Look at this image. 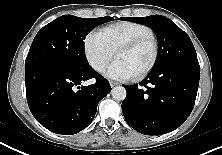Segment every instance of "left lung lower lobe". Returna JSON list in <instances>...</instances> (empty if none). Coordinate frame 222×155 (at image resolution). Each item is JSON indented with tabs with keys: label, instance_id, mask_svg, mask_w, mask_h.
Returning a JSON list of instances; mask_svg holds the SVG:
<instances>
[{
	"label": "left lung lower lobe",
	"instance_id": "0a47b994",
	"mask_svg": "<svg viewBox=\"0 0 222 155\" xmlns=\"http://www.w3.org/2000/svg\"><path fill=\"white\" fill-rule=\"evenodd\" d=\"M200 68L173 64L152 70L139 85H123L126 122L145 135L169 133L189 117L197 95Z\"/></svg>",
	"mask_w": 222,
	"mask_h": 155
}]
</instances>
